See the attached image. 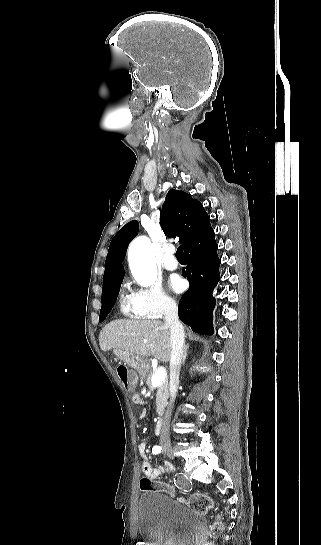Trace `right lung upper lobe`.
I'll return each mask as SVG.
<instances>
[{
  "mask_svg": "<svg viewBox=\"0 0 321 545\" xmlns=\"http://www.w3.org/2000/svg\"><path fill=\"white\" fill-rule=\"evenodd\" d=\"M161 227L168 237H179L184 248L209 225V216L202 204L191 195L171 189L167 193L160 215ZM139 225L130 221L113 237L105 262L103 289L118 285L123 280L121 262L129 242L137 235Z\"/></svg>",
  "mask_w": 321,
  "mask_h": 545,
  "instance_id": "obj_1",
  "label": "right lung upper lobe"
}]
</instances>
